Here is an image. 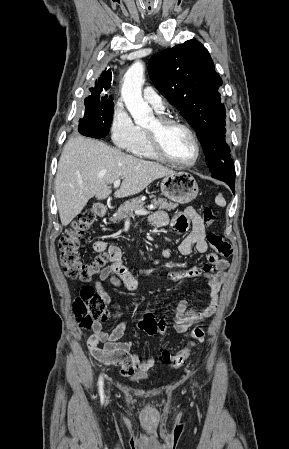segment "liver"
I'll list each match as a JSON object with an SVG mask.
<instances>
[{
	"label": "liver",
	"instance_id": "1",
	"mask_svg": "<svg viewBox=\"0 0 289 449\" xmlns=\"http://www.w3.org/2000/svg\"><path fill=\"white\" fill-rule=\"evenodd\" d=\"M152 161L125 154L103 142L71 138L64 146L55 179L60 220L67 226L86 206L89 199H105L115 180L123 182L114 196L124 198L144 190L154 180L174 173Z\"/></svg>",
	"mask_w": 289,
	"mask_h": 449
}]
</instances>
